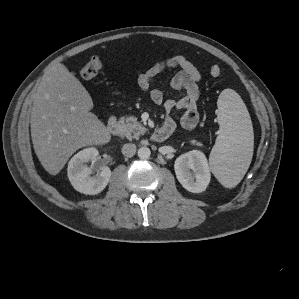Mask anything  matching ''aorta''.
I'll return each mask as SVG.
<instances>
[{
    "mask_svg": "<svg viewBox=\"0 0 299 299\" xmlns=\"http://www.w3.org/2000/svg\"><path fill=\"white\" fill-rule=\"evenodd\" d=\"M150 155H151V151L148 147H140L138 149V157L140 159H143V160L148 159L150 157Z\"/></svg>",
    "mask_w": 299,
    "mask_h": 299,
    "instance_id": "1",
    "label": "aorta"
}]
</instances>
